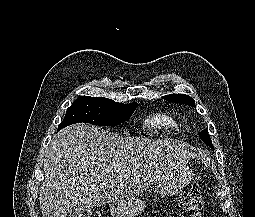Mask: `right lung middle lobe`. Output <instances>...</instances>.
Returning <instances> with one entry per match:
<instances>
[{
	"mask_svg": "<svg viewBox=\"0 0 255 217\" xmlns=\"http://www.w3.org/2000/svg\"><path fill=\"white\" fill-rule=\"evenodd\" d=\"M137 103L122 104L103 97L79 96L67 109L58 130L75 123L116 126L125 122L135 111Z\"/></svg>",
	"mask_w": 255,
	"mask_h": 217,
	"instance_id": "1",
	"label": "right lung middle lobe"
}]
</instances>
